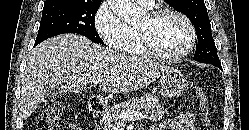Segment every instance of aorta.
Returning a JSON list of instances; mask_svg holds the SVG:
<instances>
[{"instance_id":"1","label":"aorta","mask_w":249,"mask_h":130,"mask_svg":"<svg viewBox=\"0 0 249 130\" xmlns=\"http://www.w3.org/2000/svg\"><path fill=\"white\" fill-rule=\"evenodd\" d=\"M108 4L113 12L126 22L140 20L143 12L134 0H108Z\"/></svg>"}]
</instances>
